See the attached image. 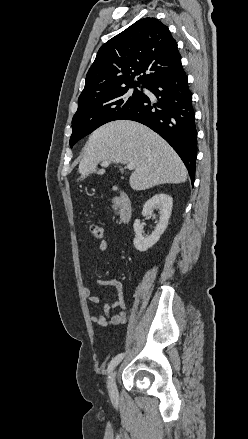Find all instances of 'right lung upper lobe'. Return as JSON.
Wrapping results in <instances>:
<instances>
[{"mask_svg":"<svg viewBox=\"0 0 248 439\" xmlns=\"http://www.w3.org/2000/svg\"><path fill=\"white\" fill-rule=\"evenodd\" d=\"M181 66L177 43L168 27L155 18L141 19L101 46L78 106L120 88L141 83L147 87ZM141 73L144 75L133 81Z\"/></svg>","mask_w":248,"mask_h":439,"instance_id":"right-lung-upper-lobe-1","label":"right lung upper lobe"}]
</instances>
